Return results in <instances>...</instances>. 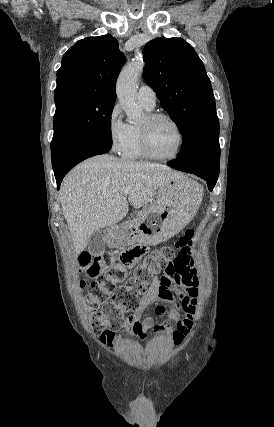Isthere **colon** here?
Returning <instances> with one entry per match:
<instances>
[{
  "instance_id": "1",
  "label": "colon",
  "mask_w": 274,
  "mask_h": 427,
  "mask_svg": "<svg viewBox=\"0 0 274 427\" xmlns=\"http://www.w3.org/2000/svg\"><path fill=\"white\" fill-rule=\"evenodd\" d=\"M175 247L176 245L167 246L148 255H146L148 249L142 243L129 247L127 251L117 250L101 256L90 257L87 250H80L77 253L79 272L87 277H94L99 273L101 261L105 264L103 275L93 285L96 293L90 300L89 322L96 332L103 329L107 319L113 320L120 316L119 307L123 306L127 310L135 309L137 297L146 291L154 276L164 272L175 261L177 255ZM144 256H146L144 262L136 267L132 276L122 284L121 276L126 264H133ZM74 289L77 292H84L87 289V282L84 279H77L74 282ZM110 293H114L115 299L107 303L105 301ZM99 306L101 309H98Z\"/></svg>"
}]
</instances>
